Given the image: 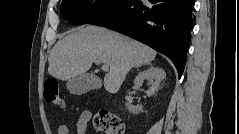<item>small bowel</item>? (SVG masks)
<instances>
[{
	"label": "small bowel",
	"instance_id": "obj_1",
	"mask_svg": "<svg viewBox=\"0 0 239 134\" xmlns=\"http://www.w3.org/2000/svg\"><path fill=\"white\" fill-rule=\"evenodd\" d=\"M92 118V113L88 110L82 111L76 122V133L86 134L88 124ZM58 134H70V129L65 124H60L57 128Z\"/></svg>",
	"mask_w": 239,
	"mask_h": 134
}]
</instances>
